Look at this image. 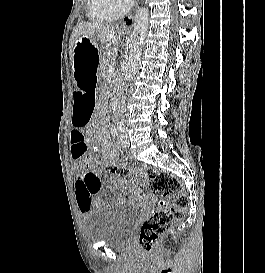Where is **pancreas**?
<instances>
[{
    "label": "pancreas",
    "mask_w": 265,
    "mask_h": 273,
    "mask_svg": "<svg viewBox=\"0 0 265 273\" xmlns=\"http://www.w3.org/2000/svg\"><path fill=\"white\" fill-rule=\"evenodd\" d=\"M116 56L117 54L114 51L109 52L104 56L99 66V75L101 77H106L108 69L115 65Z\"/></svg>",
    "instance_id": "cf45deb5"
}]
</instances>
